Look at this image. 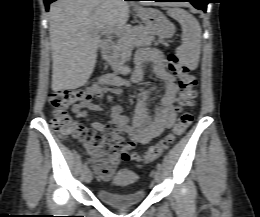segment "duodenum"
Wrapping results in <instances>:
<instances>
[{
    "label": "duodenum",
    "mask_w": 260,
    "mask_h": 217,
    "mask_svg": "<svg viewBox=\"0 0 260 217\" xmlns=\"http://www.w3.org/2000/svg\"><path fill=\"white\" fill-rule=\"evenodd\" d=\"M104 57L107 60H114L115 55H114V52L111 49H106L104 51Z\"/></svg>",
    "instance_id": "410a0bca"
}]
</instances>
